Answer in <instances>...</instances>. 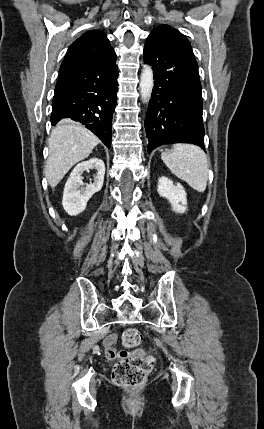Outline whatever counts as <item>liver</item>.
I'll use <instances>...</instances> for the list:
<instances>
[{"mask_svg": "<svg viewBox=\"0 0 264 429\" xmlns=\"http://www.w3.org/2000/svg\"><path fill=\"white\" fill-rule=\"evenodd\" d=\"M99 143L90 130L71 120H63L49 138V156L44 174L55 188L66 173L79 161L87 158Z\"/></svg>", "mask_w": 264, "mask_h": 429, "instance_id": "6515ba94", "label": "liver"}]
</instances>
